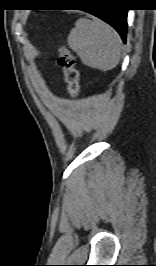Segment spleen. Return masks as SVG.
Returning a JSON list of instances; mask_svg holds the SVG:
<instances>
[{"label": "spleen", "instance_id": "obj_1", "mask_svg": "<svg viewBox=\"0 0 156 266\" xmlns=\"http://www.w3.org/2000/svg\"><path fill=\"white\" fill-rule=\"evenodd\" d=\"M67 42L82 63L90 68L105 72L115 68L120 61L121 39L111 26L99 19L80 18Z\"/></svg>", "mask_w": 156, "mask_h": 266}]
</instances>
